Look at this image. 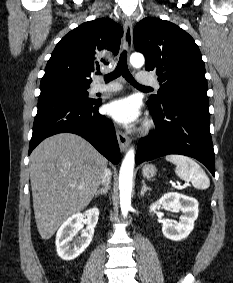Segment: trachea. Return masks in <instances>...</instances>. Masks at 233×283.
Wrapping results in <instances>:
<instances>
[{"mask_svg": "<svg viewBox=\"0 0 233 283\" xmlns=\"http://www.w3.org/2000/svg\"><path fill=\"white\" fill-rule=\"evenodd\" d=\"M97 74H101V73H97ZM123 76L130 84H132L134 87L138 88V89H146V90H151L150 87H145L142 85H139L133 78V76L131 75V73L128 70V66H127V59H126V51H123L120 55L118 64L115 68V70L112 73H109L107 75L104 76V80L106 83L110 82L113 79H116L119 76Z\"/></svg>", "mask_w": 233, "mask_h": 283, "instance_id": "3493384b", "label": "trachea"}]
</instances>
